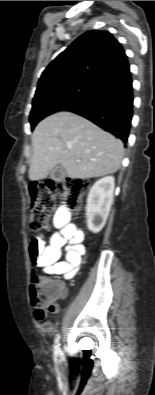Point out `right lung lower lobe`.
I'll return each mask as SVG.
<instances>
[{
    "label": "right lung lower lobe",
    "mask_w": 155,
    "mask_h": 395,
    "mask_svg": "<svg viewBox=\"0 0 155 395\" xmlns=\"http://www.w3.org/2000/svg\"><path fill=\"white\" fill-rule=\"evenodd\" d=\"M65 111L92 121L126 143L133 116L130 69L110 74L95 91Z\"/></svg>",
    "instance_id": "right-lung-lower-lobe-1"
}]
</instances>
